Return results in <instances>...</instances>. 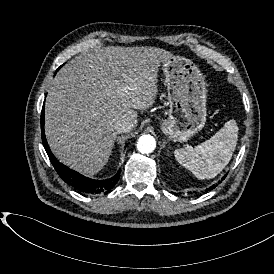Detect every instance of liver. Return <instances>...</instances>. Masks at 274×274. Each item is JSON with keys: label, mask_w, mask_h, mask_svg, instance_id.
<instances>
[{"label": "liver", "mask_w": 274, "mask_h": 274, "mask_svg": "<svg viewBox=\"0 0 274 274\" xmlns=\"http://www.w3.org/2000/svg\"><path fill=\"white\" fill-rule=\"evenodd\" d=\"M171 57L155 47L108 46L69 62L46 100V135L56 156L87 176L102 170L117 137L115 122L154 106L159 68Z\"/></svg>", "instance_id": "6515ba94"}]
</instances>
